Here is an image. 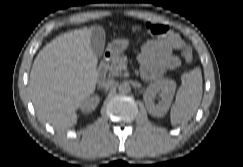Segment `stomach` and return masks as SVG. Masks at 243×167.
I'll list each match as a JSON object with an SVG mask.
<instances>
[{"label": "stomach", "mask_w": 243, "mask_h": 167, "mask_svg": "<svg viewBox=\"0 0 243 167\" xmlns=\"http://www.w3.org/2000/svg\"><path fill=\"white\" fill-rule=\"evenodd\" d=\"M129 45L128 39H116L110 42L107 46V52L114 57L123 53Z\"/></svg>", "instance_id": "obj_1"}]
</instances>
